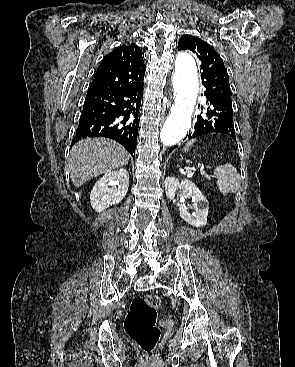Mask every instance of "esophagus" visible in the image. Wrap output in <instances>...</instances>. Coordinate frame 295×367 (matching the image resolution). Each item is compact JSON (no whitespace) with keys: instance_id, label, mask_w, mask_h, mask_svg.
Listing matches in <instances>:
<instances>
[{"instance_id":"1","label":"esophagus","mask_w":295,"mask_h":367,"mask_svg":"<svg viewBox=\"0 0 295 367\" xmlns=\"http://www.w3.org/2000/svg\"><path fill=\"white\" fill-rule=\"evenodd\" d=\"M166 104H167V107H169L171 104V101H168Z\"/></svg>"}]
</instances>
